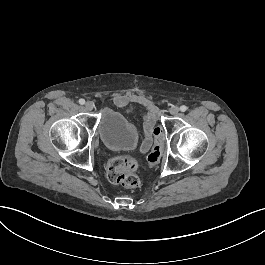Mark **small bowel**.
Returning a JSON list of instances; mask_svg holds the SVG:
<instances>
[{"mask_svg": "<svg viewBox=\"0 0 265 265\" xmlns=\"http://www.w3.org/2000/svg\"><path fill=\"white\" fill-rule=\"evenodd\" d=\"M113 101L114 104L119 108L126 107L129 103H132L134 107L143 106L144 110H148L144 116V139L140 147V152H148L152 144L154 123L157 118L156 115L160 112V109L157 106L149 109L151 103L148 100H144L142 97L131 94L126 95L116 93L113 97Z\"/></svg>", "mask_w": 265, "mask_h": 265, "instance_id": "small-bowel-1", "label": "small bowel"}]
</instances>
